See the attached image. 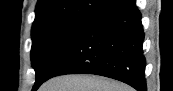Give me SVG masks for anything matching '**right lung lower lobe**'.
<instances>
[{"instance_id":"obj_1","label":"right lung lower lobe","mask_w":173,"mask_h":91,"mask_svg":"<svg viewBox=\"0 0 173 91\" xmlns=\"http://www.w3.org/2000/svg\"><path fill=\"white\" fill-rule=\"evenodd\" d=\"M143 41L141 14L135 0H116L84 23L45 80L61 74L88 73L146 91ZM40 85L34 86L33 91Z\"/></svg>"}]
</instances>
